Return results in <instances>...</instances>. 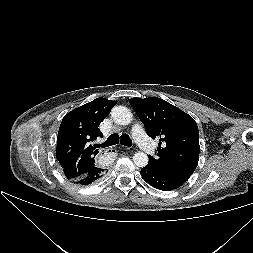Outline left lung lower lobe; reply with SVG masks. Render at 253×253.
<instances>
[{"mask_svg":"<svg viewBox=\"0 0 253 253\" xmlns=\"http://www.w3.org/2000/svg\"><path fill=\"white\" fill-rule=\"evenodd\" d=\"M141 176L156 189L169 191L180 187L184 182L164 173L162 170L148 163L141 170Z\"/></svg>","mask_w":253,"mask_h":253,"instance_id":"left-lung-lower-lobe-1","label":"left lung lower lobe"}]
</instances>
